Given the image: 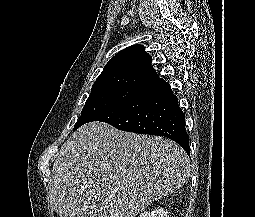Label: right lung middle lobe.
Wrapping results in <instances>:
<instances>
[{"mask_svg":"<svg viewBox=\"0 0 255 217\" xmlns=\"http://www.w3.org/2000/svg\"><path fill=\"white\" fill-rule=\"evenodd\" d=\"M145 87L117 85L93 89L82 109L74 130L90 122L94 117L118 107L140 94Z\"/></svg>","mask_w":255,"mask_h":217,"instance_id":"right-lung-middle-lobe-1","label":"right lung middle lobe"}]
</instances>
